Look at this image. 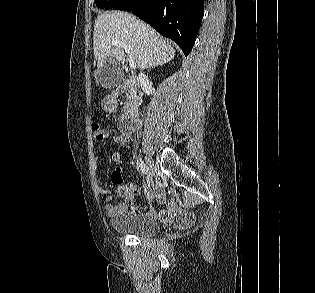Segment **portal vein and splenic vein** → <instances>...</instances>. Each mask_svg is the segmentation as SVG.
Masks as SVG:
<instances>
[{
  "instance_id": "18ae733b",
  "label": "portal vein and splenic vein",
  "mask_w": 315,
  "mask_h": 293,
  "mask_svg": "<svg viewBox=\"0 0 315 293\" xmlns=\"http://www.w3.org/2000/svg\"><path fill=\"white\" fill-rule=\"evenodd\" d=\"M111 46L112 47L122 46L124 48L125 52L129 55V50L121 41H114V42H112ZM129 66L131 69H136V67H137L134 59L130 55H129Z\"/></svg>"
}]
</instances>
